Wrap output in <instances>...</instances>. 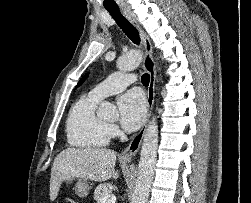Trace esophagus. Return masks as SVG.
<instances>
[{
	"mask_svg": "<svg viewBox=\"0 0 251 203\" xmlns=\"http://www.w3.org/2000/svg\"><path fill=\"white\" fill-rule=\"evenodd\" d=\"M122 14L128 19L131 24L137 29L139 32V35L142 39V42L144 44L145 48V56L143 65L144 68L147 70V72L150 75V83L147 91V104H148V115L146 122L144 126L141 128V130L134 136L130 144L126 147V149L122 152L121 158L122 159H131L133 158L137 152L140 149L145 130L147 127V122L151 116L152 108L154 105V98H155V82H156V65L153 59V51H152V44L148 37V35L145 33V31L142 29V27L139 25L137 19L135 16L127 9H122Z\"/></svg>",
	"mask_w": 251,
	"mask_h": 203,
	"instance_id": "34e87169",
	"label": "esophagus"
}]
</instances>
